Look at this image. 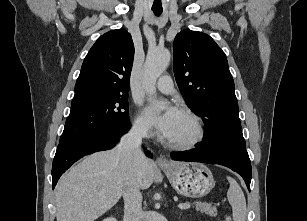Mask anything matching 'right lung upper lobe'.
Masks as SVG:
<instances>
[{"mask_svg": "<svg viewBox=\"0 0 307 221\" xmlns=\"http://www.w3.org/2000/svg\"><path fill=\"white\" fill-rule=\"evenodd\" d=\"M134 56L131 35L126 30L105 33L84 59L72 102L114 94H127Z\"/></svg>", "mask_w": 307, "mask_h": 221, "instance_id": "obj_1", "label": "right lung upper lobe"}]
</instances>
